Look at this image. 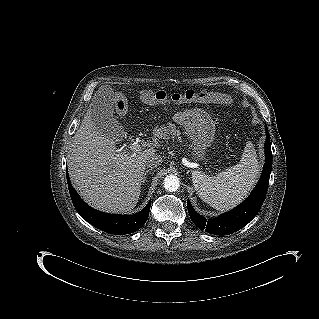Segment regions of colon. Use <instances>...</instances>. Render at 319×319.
I'll use <instances>...</instances> for the list:
<instances>
[{
    "label": "colon",
    "mask_w": 319,
    "mask_h": 319,
    "mask_svg": "<svg viewBox=\"0 0 319 319\" xmlns=\"http://www.w3.org/2000/svg\"><path fill=\"white\" fill-rule=\"evenodd\" d=\"M140 98L148 104L182 103V102H221L227 103L222 97L210 91H197L193 89L181 93L168 95L164 90L143 89L140 92ZM128 106L127 98L124 95H118L116 98V110L123 114Z\"/></svg>",
    "instance_id": "obj_1"
}]
</instances>
